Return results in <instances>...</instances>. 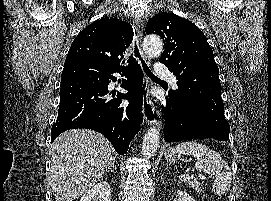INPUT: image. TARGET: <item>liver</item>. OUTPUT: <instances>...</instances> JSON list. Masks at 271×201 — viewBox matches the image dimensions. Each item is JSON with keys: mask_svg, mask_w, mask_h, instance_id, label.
I'll return each mask as SVG.
<instances>
[{"mask_svg": "<svg viewBox=\"0 0 271 201\" xmlns=\"http://www.w3.org/2000/svg\"><path fill=\"white\" fill-rule=\"evenodd\" d=\"M49 181L56 201H73L100 181L115 160L114 148L100 133L74 129L51 146Z\"/></svg>", "mask_w": 271, "mask_h": 201, "instance_id": "obj_1", "label": "liver"}]
</instances>
